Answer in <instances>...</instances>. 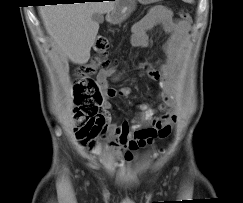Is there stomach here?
Wrapping results in <instances>:
<instances>
[{
  "instance_id": "obj_1",
  "label": "stomach",
  "mask_w": 243,
  "mask_h": 203,
  "mask_svg": "<svg viewBox=\"0 0 243 203\" xmlns=\"http://www.w3.org/2000/svg\"><path fill=\"white\" fill-rule=\"evenodd\" d=\"M136 0H116L114 8L107 13L106 19L111 24H120L125 21L133 12ZM139 3L147 5L161 0H137Z\"/></svg>"
}]
</instances>
